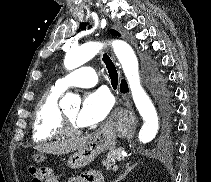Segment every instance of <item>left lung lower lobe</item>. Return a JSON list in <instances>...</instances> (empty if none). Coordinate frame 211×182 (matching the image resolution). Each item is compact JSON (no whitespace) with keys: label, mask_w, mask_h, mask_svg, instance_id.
<instances>
[{"label":"left lung lower lobe","mask_w":211,"mask_h":182,"mask_svg":"<svg viewBox=\"0 0 211 182\" xmlns=\"http://www.w3.org/2000/svg\"><path fill=\"white\" fill-rule=\"evenodd\" d=\"M151 77H152L151 79H152L153 85H156V83H155V81H154L155 77H153V75H152ZM156 79H157V78H156ZM120 91H121L122 93L128 92V85H127V83H126V81H125L124 79L121 81Z\"/></svg>","instance_id":"1"}]
</instances>
